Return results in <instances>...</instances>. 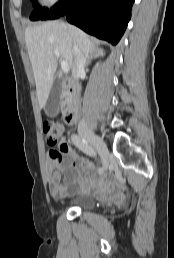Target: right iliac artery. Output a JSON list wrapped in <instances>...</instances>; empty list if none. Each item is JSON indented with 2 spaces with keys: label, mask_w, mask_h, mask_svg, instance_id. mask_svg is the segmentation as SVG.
<instances>
[{
  "label": "right iliac artery",
  "mask_w": 174,
  "mask_h": 258,
  "mask_svg": "<svg viewBox=\"0 0 174 258\" xmlns=\"http://www.w3.org/2000/svg\"><path fill=\"white\" fill-rule=\"evenodd\" d=\"M72 141L73 143L82 151L84 152L86 155L89 156H96V152L95 150L92 148L91 145H89L83 138H81L80 136L73 134L72 135ZM99 174L103 173V168L100 167L98 169Z\"/></svg>",
  "instance_id": "obj_1"
}]
</instances>
